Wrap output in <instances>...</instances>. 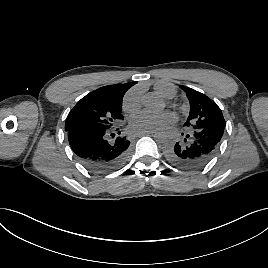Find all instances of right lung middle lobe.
<instances>
[{
  "instance_id": "1",
  "label": "right lung middle lobe",
  "mask_w": 268,
  "mask_h": 268,
  "mask_svg": "<svg viewBox=\"0 0 268 268\" xmlns=\"http://www.w3.org/2000/svg\"><path fill=\"white\" fill-rule=\"evenodd\" d=\"M122 100L106 98L89 93L69 112L65 130L71 128L111 129L115 123L123 120Z\"/></svg>"
}]
</instances>
